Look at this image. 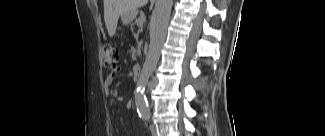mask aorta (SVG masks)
I'll return each mask as SVG.
<instances>
[{
	"label": "aorta",
	"instance_id": "obj_1",
	"mask_svg": "<svg viewBox=\"0 0 325 136\" xmlns=\"http://www.w3.org/2000/svg\"><path fill=\"white\" fill-rule=\"evenodd\" d=\"M172 5L173 0H158L151 17L149 50L135 90V105L141 114L149 112L145 89L160 57L167 34Z\"/></svg>",
	"mask_w": 325,
	"mask_h": 136
}]
</instances>
